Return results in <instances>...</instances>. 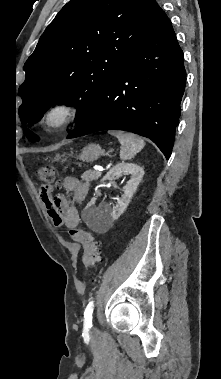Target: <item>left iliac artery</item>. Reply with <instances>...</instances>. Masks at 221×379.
Here are the masks:
<instances>
[{"mask_svg":"<svg viewBox=\"0 0 221 379\" xmlns=\"http://www.w3.org/2000/svg\"><path fill=\"white\" fill-rule=\"evenodd\" d=\"M93 309H94V301H90L85 309V313H84V317H85V320H84V323L86 324L87 327H91L92 326V313H93Z\"/></svg>","mask_w":221,"mask_h":379,"instance_id":"44dca946","label":"left iliac artery"}]
</instances>
